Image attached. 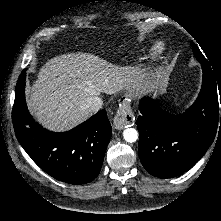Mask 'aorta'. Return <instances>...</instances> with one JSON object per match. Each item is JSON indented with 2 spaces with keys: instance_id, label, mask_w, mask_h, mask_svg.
Returning a JSON list of instances; mask_svg holds the SVG:
<instances>
[{
  "instance_id": "aorta-1",
  "label": "aorta",
  "mask_w": 221,
  "mask_h": 221,
  "mask_svg": "<svg viewBox=\"0 0 221 221\" xmlns=\"http://www.w3.org/2000/svg\"><path fill=\"white\" fill-rule=\"evenodd\" d=\"M123 138L126 142L133 143L138 139V132L134 128H127L123 131Z\"/></svg>"
}]
</instances>
